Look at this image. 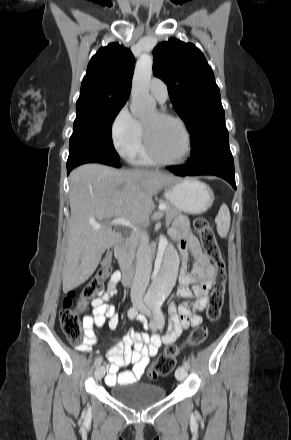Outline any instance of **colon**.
Masks as SVG:
<instances>
[{
	"label": "colon",
	"mask_w": 291,
	"mask_h": 440,
	"mask_svg": "<svg viewBox=\"0 0 291 440\" xmlns=\"http://www.w3.org/2000/svg\"><path fill=\"white\" fill-rule=\"evenodd\" d=\"M194 228L199 234L205 255H207L215 265V279L207 305V315L211 321H216L220 317L224 300L226 282L225 261L209 221L202 217L196 218L194 220ZM111 259V255L103 259L95 278L83 288L78 296L75 307H73L72 303L76 294L74 291L68 292L65 298L64 307L59 313V322L63 333L72 343L83 342L84 330L80 325L79 317L86 311L87 301L98 295L102 291L104 283L109 279ZM207 333L205 327H199L193 332L185 344H169L160 355L156 364L150 368V377H160L171 373L174 368L175 358L181 350L186 345L192 346L202 342L206 338Z\"/></svg>",
	"instance_id": "colon-1"
}]
</instances>
